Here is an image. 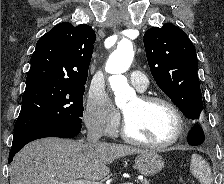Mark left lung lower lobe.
<instances>
[{"label": "left lung lower lobe", "instance_id": "1", "mask_svg": "<svg viewBox=\"0 0 224 184\" xmlns=\"http://www.w3.org/2000/svg\"><path fill=\"white\" fill-rule=\"evenodd\" d=\"M187 140L190 145H194V146L203 143L204 134H203L202 128L201 127L194 128L192 132L190 133V135L188 136Z\"/></svg>", "mask_w": 224, "mask_h": 184}]
</instances>
